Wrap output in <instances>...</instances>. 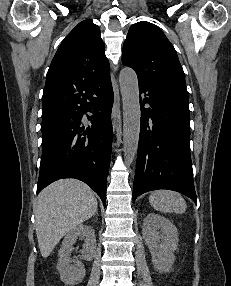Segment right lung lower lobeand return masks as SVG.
Segmentation results:
<instances>
[{"mask_svg": "<svg viewBox=\"0 0 231 286\" xmlns=\"http://www.w3.org/2000/svg\"><path fill=\"white\" fill-rule=\"evenodd\" d=\"M110 76L75 90L42 119V157L37 193L61 178H76L88 184L106 204L107 175L112 144ZM86 112L92 125L82 126Z\"/></svg>", "mask_w": 231, "mask_h": 286, "instance_id": "1", "label": "right lung lower lobe"}]
</instances>
